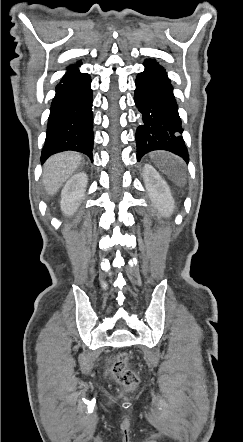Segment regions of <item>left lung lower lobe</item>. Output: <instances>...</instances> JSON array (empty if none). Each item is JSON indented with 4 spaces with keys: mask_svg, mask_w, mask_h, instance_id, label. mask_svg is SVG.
I'll return each mask as SVG.
<instances>
[{
    "mask_svg": "<svg viewBox=\"0 0 243 442\" xmlns=\"http://www.w3.org/2000/svg\"><path fill=\"white\" fill-rule=\"evenodd\" d=\"M145 70L137 75L134 100L142 117L136 131L137 160L154 150H167L189 161L180 134L183 129L173 87L163 67L146 59Z\"/></svg>",
    "mask_w": 243,
    "mask_h": 442,
    "instance_id": "0a47b994",
    "label": "left lung lower lobe"
}]
</instances>
